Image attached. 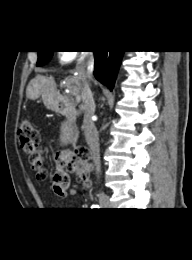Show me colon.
<instances>
[{"label":"colon","instance_id":"5ec220e1","mask_svg":"<svg viewBox=\"0 0 192 260\" xmlns=\"http://www.w3.org/2000/svg\"><path fill=\"white\" fill-rule=\"evenodd\" d=\"M17 135L19 145L27 154L29 163L36 170L38 178H47L48 172L44 166L45 161L40 147V134L32 121L22 120ZM89 156L88 149L81 147L58 157L52 177V187L58 195L66 194L71 184L72 174L76 175L85 186L90 185L92 165Z\"/></svg>","mask_w":192,"mask_h":260}]
</instances>
